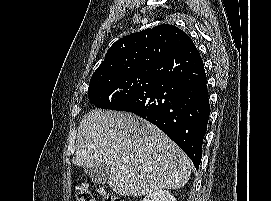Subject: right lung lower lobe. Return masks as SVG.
<instances>
[{
    "label": "right lung lower lobe",
    "instance_id": "obj_1",
    "mask_svg": "<svg viewBox=\"0 0 271 201\" xmlns=\"http://www.w3.org/2000/svg\"><path fill=\"white\" fill-rule=\"evenodd\" d=\"M152 74L149 89L119 111L133 112L159 127L198 170L210 106L203 61L190 37L156 64Z\"/></svg>",
    "mask_w": 271,
    "mask_h": 201
}]
</instances>
